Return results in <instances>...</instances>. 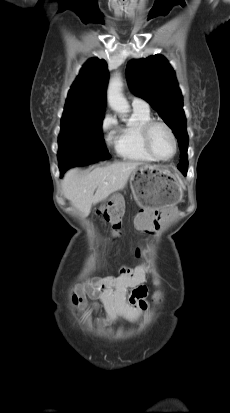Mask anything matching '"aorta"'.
I'll list each match as a JSON object with an SVG mask.
<instances>
[{
  "mask_svg": "<svg viewBox=\"0 0 230 413\" xmlns=\"http://www.w3.org/2000/svg\"><path fill=\"white\" fill-rule=\"evenodd\" d=\"M122 80L119 76L111 79L107 90V100L112 110L123 117L129 112V104L122 93Z\"/></svg>",
  "mask_w": 230,
  "mask_h": 413,
  "instance_id": "1",
  "label": "aorta"
}]
</instances>
